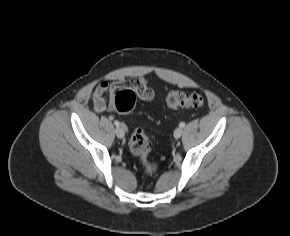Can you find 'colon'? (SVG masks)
Here are the masks:
<instances>
[{
	"mask_svg": "<svg viewBox=\"0 0 290 236\" xmlns=\"http://www.w3.org/2000/svg\"><path fill=\"white\" fill-rule=\"evenodd\" d=\"M137 93L131 88H121L115 95L113 107L120 113H130L136 104ZM205 102L204 96L200 93H185L179 90L170 91L166 103L170 109L179 107H201ZM129 148L131 152L139 157L148 175H154L159 169L156 162L149 160L148 156L152 149L150 138L141 128L133 131L129 139Z\"/></svg>",
	"mask_w": 290,
	"mask_h": 236,
	"instance_id": "5ec220e1",
	"label": "colon"
}]
</instances>
